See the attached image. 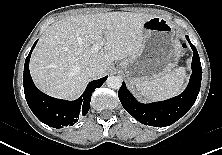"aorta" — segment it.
<instances>
[{
  "mask_svg": "<svg viewBox=\"0 0 222 155\" xmlns=\"http://www.w3.org/2000/svg\"><path fill=\"white\" fill-rule=\"evenodd\" d=\"M106 84L109 88L119 89L122 85V79L119 76H109L106 80Z\"/></svg>",
  "mask_w": 222,
  "mask_h": 155,
  "instance_id": "762f6f07",
  "label": "aorta"
}]
</instances>
